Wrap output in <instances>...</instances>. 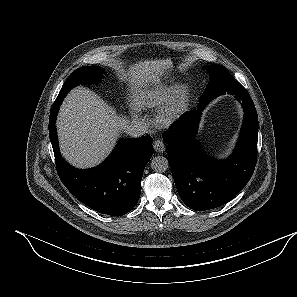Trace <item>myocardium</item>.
<instances>
[{
	"instance_id": "myocardium-1",
	"label": "myocardium",
	"mask_w": 297,
	"mask_h": 297,
	"mask_svg": "<svg viewBox=\"0 0 297 297\" xmlns=\"http://www.w3.org/2000/svg\"><path fill=\"white\" fill-rule=\"evenodd\" d=\"M188 101V91L185 86L179 87L171 99L159 110L158 122L163 126L175 123L183 114Z\"/></svg>"
}]
</instances>
